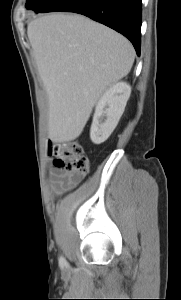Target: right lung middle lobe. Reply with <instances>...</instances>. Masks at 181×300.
I'll return each instance as SVG.
<instances>
[{
	"mask_svg": "<svg viewBox=\"0 0 181 300\" xmlns=\"http://www.w3.org/2000/svg\"><path fill=\"white\" fill-rule=\"evenodd\" d=\"M55 0H27L26 2V9L33 10L36 13L41 12Z\"/></svg>",
	"mask_w": 181,
	"mask_h": 300,
	"instance_id": "1",
	"label": "right lung middle lobe"
}]
</instances>
